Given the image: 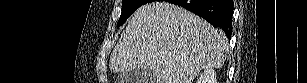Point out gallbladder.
<instances>
[{
  "mask_svg": "<svg viewBox=\"0 0 307 83\" xmlns=\"http://www.w3.org/2000/svg\"><path fill=\"white\" fill-rule=\"evenodd\" d=\"M120 83H153L155 80L154 72L150 69H134L128 73H123L118 79Z\"/></svg>",
  "mask_w": 307,
  "mask_h": 83,
  "instance_id": "gallbladder-1",
  "label": "gallbladder"
}]
</instances>
